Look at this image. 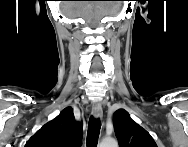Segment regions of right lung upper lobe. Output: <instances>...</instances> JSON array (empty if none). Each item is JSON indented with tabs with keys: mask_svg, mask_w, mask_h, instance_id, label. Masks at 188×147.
I'll list each match as a JSON object with an SVG mask.
<instances>
[{
	"mask_svg": "<svg viewBox=\"0 0 188 147\" xmlns=\"http://www.w3.org/2000/svg\"><path fill=\"white\" fill-rule=\"evenodd\" d=\"M82 123L74 118L67 107L52 121L45 124L26 143V147H80Z\"/></svg>",
	"mask_w": 188,
	"mask_h": 147,
	"instance_id": "obj_1",
	"label": "right lung upper lobe"
}]
</instances>
